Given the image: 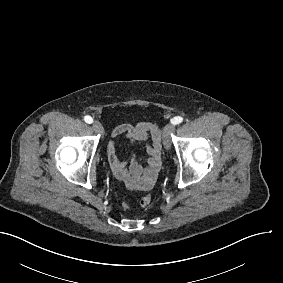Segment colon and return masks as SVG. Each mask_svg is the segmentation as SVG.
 Listing matches in <instances>:
<instances>
[{
    "label": "colon",
    "instance_id": "1",
    "mask_svg": "<svg viewBox=\"0 0 283 283\" xmlns=\"http://www.w3.org/2000/svg\"><path fill=\"white\" fill-rule=\"evenodd\" d=\"M151 188V184L148 185V189ZM152 196L150 193H147L139 198L138 204L140 207L146 208L151 204Z\"/></svg>",
    "mask_w": 283,
    "mask_h": 283
}]
</instances>
